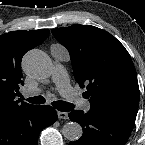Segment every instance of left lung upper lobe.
Wrapping results in <instances>:
<instances>
[{
  "instance_id": "left-lung-upper-lobe-1",
  "label": "left lung upper lobe",
  "mask_w": 145,
  "mask_h": 145,
  "mask_svg": "<svg viewBox=\"0 0 145 145\" xmlns=\"http://www.w3.org/2000/svg\"><path fill=\"white\" fill-rule=\"evenodd\" d=\"M70 53L74 76L93 107L138 108L135 67L125 47L110 33L91 25L75 24L52 30Z\"/></svg>"
}]
</instances>
